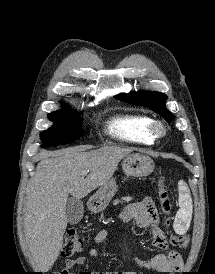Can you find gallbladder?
Instances as JSON below:
<instances>
[{
    "label": "gallbladder",
    "instance_id": "gallbladder-1",
    "mask_svg": "<svg viewBox=\"0 0 215 274\" xmlns=\"http://www.w3.org/2000/svg\"><path fill=\"white\" fill-rule=\"evenodd\" d=\"M66 214L70 224H77L84 214L83 202L74 197L70 198L66 205Z\"/></svg>",
    "mask_w": 215,
    "mask_h": 274
}]
</instances>
